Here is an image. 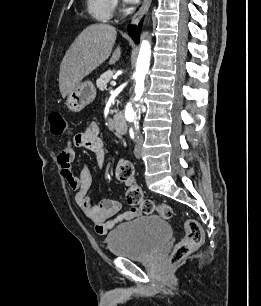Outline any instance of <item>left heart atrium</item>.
<instances>
[{
    "instance_id": "obj_1",
    "label": "left heart atrium",
    "mask_w": 261,
    "mask_h": 306,
    "mask_svg": "<svg viewBox=\"0 0 261 306\" xmlns=\"http://www.w3.org/2000/svg\"><path fill=\"white\" fill-rule=\"evenodd\" d=\"M126 3H136L138 0H124Z\"/></svg>"
}]
</instances>
